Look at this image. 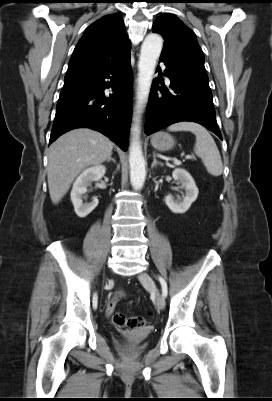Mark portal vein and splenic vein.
<instances>
[{"mask_svg":"<svg viewBox=\"0 0 272 401\" xmlns=\"http://www.w3.org/2000/svg\"><path fill=\"white\" fill-rule=\"evenodd\" d=\"M186 159H195L193 156L191 155H186L185 156ZM175 164H179L180 162L177 159H174Z\"/></svg>","mask_w":272,"mask_h":401,"instance_id":"obj_1","label":"portal vein and splenic vein"}]
</instances>
